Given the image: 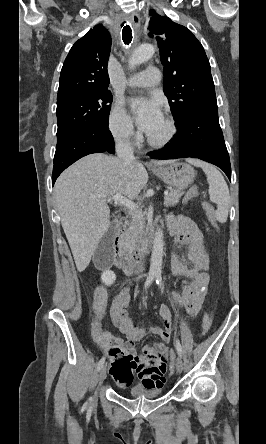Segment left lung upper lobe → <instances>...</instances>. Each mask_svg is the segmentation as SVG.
<instances>
[{
    "mask_svg": "<svg viewBox=\"0 0 266 444\" xmlns=\"http://www.w3.org/2000/svg\"><path fill=\"white\" fill-rule=\"evenodd\" d=\"M149 14V35H157L163 89L175 122L197 108L217 106L210 63L201 43L186 27L154 10Z\"/></svg>",
    "mask_w": 266,
    "mask_h": 444,
    "instance_id": "obj_1",
    "label": "left lung upper lobe"
}]
</instances>
